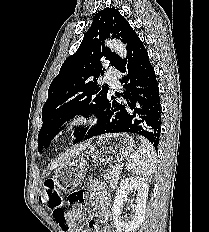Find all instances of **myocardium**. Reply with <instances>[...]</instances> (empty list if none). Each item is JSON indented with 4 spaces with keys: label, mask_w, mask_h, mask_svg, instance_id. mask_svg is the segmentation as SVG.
<instances>
[{
    "label": "myocardium",
    "mask_w": 209,
    "mask_h": 232,
    "mask_svg": "<svg viewBox=\"0 0 209 232\" xmlns=\"http://www.w3.org/2000/svg\"><path fill=\"white\" fill-rule=\"evenodd\" d=\"M88 122L89 120L85 115H76L66 123V127L76 129L87 124Z\"/></svg>",
    "instance_id": "obj_1"
}]
</instances>
